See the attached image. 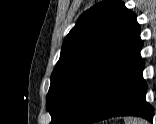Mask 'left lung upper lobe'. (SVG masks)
<instances>
[{
    "mask_svg": "<svg viewBox=\"0 0 156 124\" xmlns=\"http://www.w3.org/2000/svg\"><path fill=\"white\" fill-rule=\"evenodd\" d=\"M140 41L136 16L121 1L105 0L84 12L64 39L51 75L50 124H78L104 81Z\"/></svg>",
    "mask_w": 156,
    "mask_h": 124,
    "instance_id": "5c2ea615",
    "label": "left lung upper lobe"
}]
</instances>
